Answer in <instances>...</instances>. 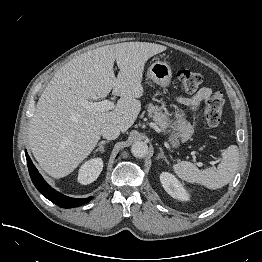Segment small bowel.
<instances>
[{"label":"small bowel","mask_w":262,"mask_h":262,"mask_svg":"<svg viewBox=\"0 0 262 262\" xmlns=\"http://www.w3.org/2000/svg\"><path fill=\"white\" fill-rule=\"evenodd\" d=\"M212 95V89L202 87L194 95L189 98H180V101L189 106H196Z\"/></svg>","instance_id":"1"}]
</instances>
